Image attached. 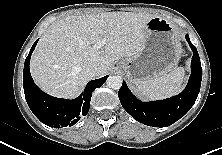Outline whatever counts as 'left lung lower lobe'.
Masks as SVG:
<instances>
[{
    "label": "left lung lower lobe",
    "mask_w": 222,
    "mask_h": 155,
    "mask_svg": "<svg viewBox=\"0 0 222 155\" xmlns=\"http://www.w3.org/2000/svg\"><path fill=\"white\" fill-rule=\"evenodd\" d=\"M186 40L193 51L191 75L186 88L176 96L168 99L142 102L128 89L123 81L118 96L123 108L137 121L153 127H166L184 116L195 103L200 91L202 67L196 47Z\"/></svg>",
    "instance_id": "left-lung-lower-lobe-1"
}]
</instances>
